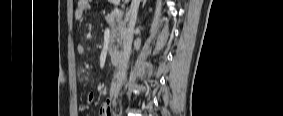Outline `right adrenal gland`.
I'll return each mask as SVG.
<instances>
[{"label":"right adrenal gland","mask_w":283,"mask_h":116,"mask_svg":"<svg viewBox=\"0 0 283 116\" xmlns=\"http://www.w3.org/2000/svg\"><path fill=\"white\" fill-rule=\"evenodd\" d=\"M142 2H143V3H142V7H144V5H145V3H146V0H143Z\"/></svg>","instance_id":"1"}]
</instances>
